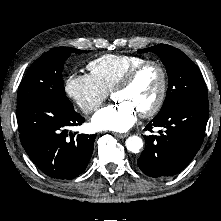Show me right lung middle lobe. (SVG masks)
I'll return each mask as SVG.
<instances>
[{"label": "right lung middle lobe", "instance_id": "right-lung-middle-lobe-1", "mask_svg": "<svg viewBox=\"0 0 221 221\" xmlns=\"http://www.w3.org/2000/svg\"><path fill=\"white\" fill-rule=\"evenodd\" d=\"M86 51L57 47L38 58L27 71L17 94V106L31 100H47L67 109L73 106L64 93L62 70L71 53Z\"/></svg>", "mask_w": 221, "mask_h": 221}]
</instances>
